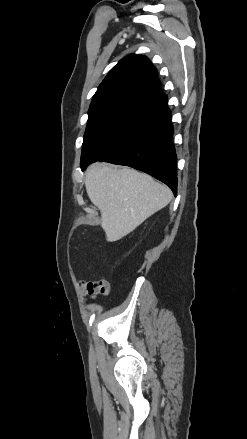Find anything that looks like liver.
<instances>
[{
    "label": "liver",
    "instance_id": "liver-1",
    "mask_svg": "<svg viewBox=\"0 0 247 439\" xmlns=\"http://www.w3.org/2000/svg\"><path fill=\"white\" fill-rule=\"evenodd\" d=\"M85 187L100 210L101 226L111 242L128 235L172 199L170 189L151 176L100 163L88 167Z\"/></svg>",
    "mask_w": 247,
    "mask_h": 439
}]
</instances>
